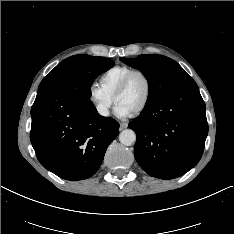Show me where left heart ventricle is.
Wrapping results in <instances>:
<instances>
[{
    "label": "left heart ventricle",
    "mask_w": 234,
    "mask_h": 234,
    "mask_svg": "<svg viewBox=\"0 0 234 234\" xmlns=\"http://www.w3.org/2000/svg\"><path fill=\"white\" fill-rule=\"evenodd\" d=\"M146 91V80L142 75H136L132 78L126 91L117 97L116 105L122 106L132 113L143 103Z\"/></svg>",
    "instance_id": "b2bd125f"
}]
</instances>
